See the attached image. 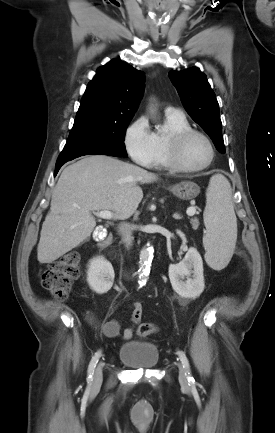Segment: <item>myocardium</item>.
I'll return each mask as SVG.
<instances>
[{"label": "myocardium", "instance_id": "myocardium-1", "mask_svg": "<svg viewBox=\"0 0 275 433\" xmlns=\"http://www.w3.org/2000/svg\"><path fill=\"white\" fill-rule=\"evenodd\" d=\"M193 136H200L202 137L206 143L209 146L210 149V158L209 160L199 166V167H189L186 166L181 159V152H182V148L185 144V142L190 139ZM215 155H216V151H215V147L214 144L212 142V140L210 139V137L204 133L203 131L197 130V129H186L184 131L175 133L173 135H171L168 140H167V159H168V163L171 166L172 169L179 171V172H184V173H195V172H200L203 171L205 169H207L214 161L215 159Z\"/></svg>", "mask_w": 275, "mask_h": 433}]
</instances>
